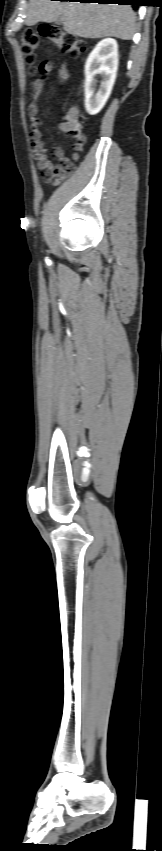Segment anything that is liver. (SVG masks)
<instances>
[{"label": "liver", "instance_id": "liver-1", "mask_svg": "<svg viewBox=\"0 0 162 851\" xmlns=\"http://www.w3.org/2000/svg\"><path fill=\"white\" fill-rule=\"evenodd\" d=\"M58 18L63 29L83 38L116 37L130 40L134 35L135 14L129 5L30 0L25 24L52 22Z\"/></svg>", "mask_w": 162, "mask_h": 851}]
</instances>
